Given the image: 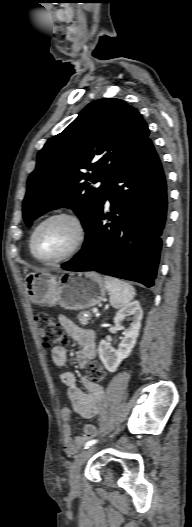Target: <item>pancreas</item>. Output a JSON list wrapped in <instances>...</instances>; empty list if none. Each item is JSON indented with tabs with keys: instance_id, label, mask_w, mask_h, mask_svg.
Segmentation results:
<instances>
[{
	"instance_id": "cf45deb5",
	"label": "pancreas",
	"mask_w": 192,
	"mask_h": 527,
	"mask_svg": "<svg viewBox=\"0 0 192 527\" xmlns=\"http://www.w3.org/2000/svg\"><path fill=\"white\" fill-rule=\"evenodd\" d=\"M77 317L82 325H87L89 324L91 317H93V314L89 311H81Z\"/></svg>"
}]
</instances>
